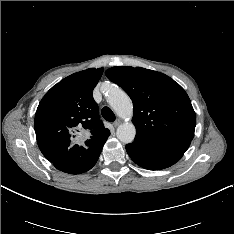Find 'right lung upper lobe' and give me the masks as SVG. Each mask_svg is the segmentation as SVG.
<instances>
[{"mask_svg":"<svg viewBox=\"0 0 234 234\" xmlns=\"http://www.w3.org/2000/svg\"><path fill=\"white\" fill-rule=\"evenodd\" d=\"M103 68L72 74L53 86L35 114L39 149L53 164L71 162L110 134L99 119L92 91Z\"/></svg>","mask_w":234,"mask_h":234,"instance_id":"cb5924a9","label":"right lung upper lobe"}]
</instances>
